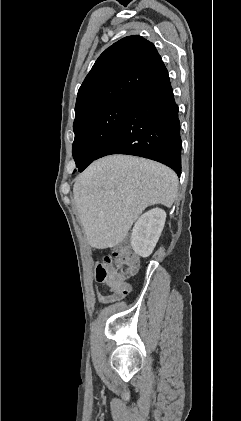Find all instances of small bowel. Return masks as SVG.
<instances>
[{"mask_svg":"<svg viewBox=\"0 0 241 421\" xmlns=\"http://www.w3.org/2000/svg\"><path fill=\"white\" fill-rule=\"evenodd\" d=\"M105 285L109 289L108 294H102L98 291L96 287L94 288L95 296L97 300L101 303H113V302L120 301L126 296V294L128 293L130 289V286H127L126 288H122V287L117 288V287L111 286L108 283H105Z\"/></svg>","mask_w":241,"mask_h":421,"instance_id":"small-bowel-1","label":"small bowel"}]
</instances>
